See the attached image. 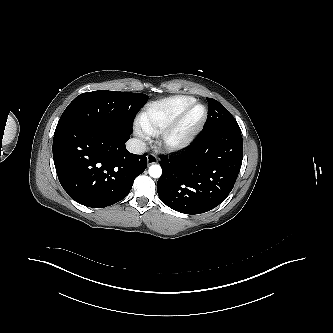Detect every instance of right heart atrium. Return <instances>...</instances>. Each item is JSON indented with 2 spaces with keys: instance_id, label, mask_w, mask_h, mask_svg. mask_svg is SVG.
<instances>
[{
  "instance_id": "1",
  "label": "right heart atrium",
  "mask_w": 333,
  "mask_h": 333,
  "mask_svg": "<svg viewBox=\"0 0 333 333\" xmlns=\"http://www.w3.org/2000/svg\"><path fill=\"white\" fill-rule=\"evenodd\" d=\"M135 134L142 140L146 139L147 137V134L144 132V130L141 129L140 126L135 128Z\"/></svg>"
}]
</instances>
